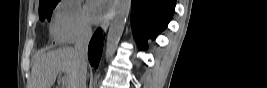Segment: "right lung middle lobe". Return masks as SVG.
<instances>
[{
  "instance_id": "obj_1",
  "label": "right lung middle lobe",
  "mask_w": 267,
  "mask_h": 88,
  "mask_svg": "<svg viewBox=\"0 0 267 88\" xmlns=\"http://www.w3.org/2000/svg\"><path fill=\"white\" fill-rule=\"evenodd\" d=\"M60 0H44L39 3V17L50 21L52 11Z\"/></svg>"
}]
</instances>
